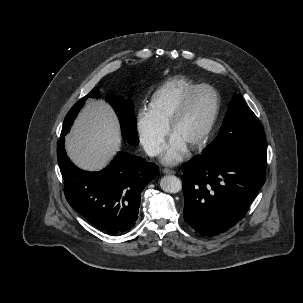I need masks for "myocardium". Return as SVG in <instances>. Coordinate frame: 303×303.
I'll return each instance as SVG.
<instances>
[{"label":"myocardium","mask_w":303,"mask_h":303,"mask_svg":"<svg viewBox=\"0 0 303 303\" xmlns=\"http://www.w3.org/2000/svg\"><path fill=\"white\" fill-rule=\"evenodd\" d=\"M204 89H208L210 91L213 92V94L215 95L216 98V104H215V108L213 111V114L206 126V128L202 131V133L190 144V148L191 149H198L201 146L204 145V143L207 141V139L209 138V136L211 135L220 111H221V105H222V99L221 96L219 94V92L211 85L209 84H200L197 87H195L194 89H192L181 101V103L179 104V106L176 108V110L174 111V113L172 114L169 123H168V127H169V131L170 133H173L178 121L182 118V116L185 114V112L187 111V109L190 106L191 101L193 100V98L202 90Z\"/></svg>","instance_id":"f54148a6"}]
</instances>
